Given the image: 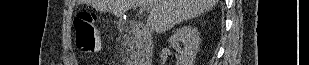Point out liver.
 Listing matches in <instances>:
<instances>
[{
	"instance_id": "liver-1",
	"label": "liver",
	"mask_w": 309,
	"mask_h": 65,
	"mask_svg": "<svg viewBox=\"0 0 309 65\" xmlns=\"http://www.w3.org/2000/svg\"><path fill=\"white\" fill-rule=\"evenodd\" d=\"M145 1L150 11L147 25L158 33L211 10L217 3V0H93L92 5L99 11L120 17Z\"/></svg>"
}]
</instances>
